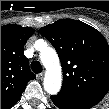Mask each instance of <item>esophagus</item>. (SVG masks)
Wrapping results in <instances>:
<instances>
[{"mask_svg": "<svg viewBox=\"0 0 109 109\" xmlns=\"http://www.w3.org/2000/svg\"><path fill=\"white\" fill-rule=\"evenodd\" d=\"M38 78H39L40 80H42V79L44 78V72L38 74Z\"/></svg>", "mask_w": 109, "mask_h": 109, "instance_id": "obj_1", "label": "esophagus"}]
</instances>
